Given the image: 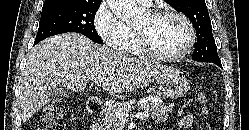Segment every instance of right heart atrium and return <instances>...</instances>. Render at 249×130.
I'll use <instances>...</instances> for the list:
<instances>
[{"mask_svg":"<svg viewBox=\"0 0 249 130\" xmlns=\"http://www.w3.org/2000/svg\"><path fill=\"white\" fill-rule=\"evenodd\" d=\"M93 26L108 47L126 51L130 40V28L114 13L107 2H102L95 11Z\"/></svg>","mask_w":249,"mask_h":130,"instance_id":"1","label":"right heart atrium"}]
</instances>
